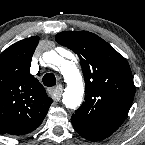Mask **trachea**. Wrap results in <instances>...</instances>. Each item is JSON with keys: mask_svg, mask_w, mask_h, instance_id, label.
<instances>
[{"mask_svg": "<svg viewBox=\"0 0 145 145\" xmlns=\"http://www.w3.org/2000/svg\"><path fill=\"white\" fill-rule=\"evenodd\" d=\"M43 84L47 87H52L56 84V78L53 74L47 73L43 76Z\"/></svg>", "mask_w": 145, "mask_h": 145, "instance_id": "3493384b", "label": "trachea"}]
</instances>
